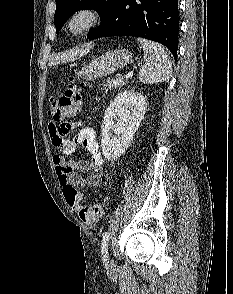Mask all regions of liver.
<instances>
[{
  "label": "liver",
  "mask_w": 233,
  "mask_h": 294,
  "mask_svg": "<svg viewBox=\"0 0 233 294\" xmlns=\"http://www.w3.org/2000/svg\"><path fill=\"white\" fill-rule=\"evenodd\" d=\"M88 52V49H80L76 50L75 52H69L67 54L61 55L57 57L56 59L51 61V65L58 64V63H64V62H70L77 57H80Z\"/></svg>",
  "instance_id": "obj_1"
}]
</instances>
